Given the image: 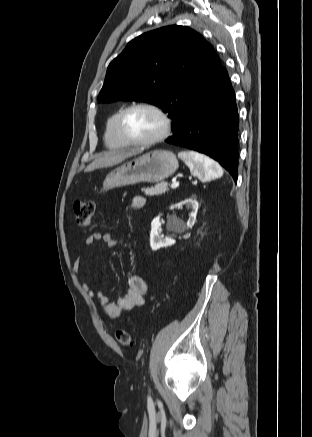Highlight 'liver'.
<instances>
[{
  "mask_svg": "<svg viewBox=\"0 0 312 437\" xmlns=\"http://www.w3.org/2000/svg\"><path fill=\"white\" fill-rule=\"evenodd\" d=\"M141 152L142 150L140 149L109 152L104 156L97 157L90 165L87 166L85 172H91L98 168H106V167L117 165L122 161H124L125 159L135 156Z\"/></svg>",
  "mask_w": 312,
  "mask_h": 437,
  "instance_id": "obj_1",
  "label": "liver"
}]
</instances>
